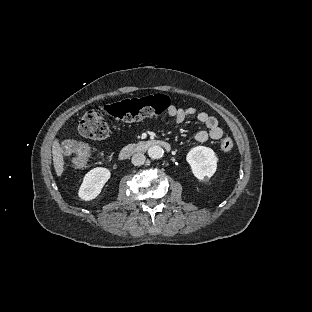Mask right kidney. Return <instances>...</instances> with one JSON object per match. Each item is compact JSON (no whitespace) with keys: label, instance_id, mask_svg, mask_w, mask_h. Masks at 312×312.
<instances>
[{"label":"right kidney","instance_id":"right-kidney-1","mask_svg":"<svg viewBox=\"0 0 312 312\" xmlns=\"http://www.w3.org/2000/svg\"><path fill=\"white\" fill-rule=\"evenodd\" d=\"M110 176V171L103 167L90 170L85 175L83 183L80 186L78 192L79 197L86 201L96 198Z\"/></svg>","mask_w":312,"mask_h":312}]
</instances>
